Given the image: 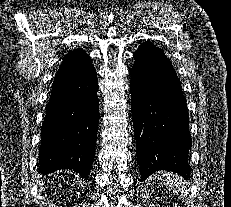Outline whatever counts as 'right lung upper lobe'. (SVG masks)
I'll use <instances>...</instances> for the list:
<instances>
[{"instance_id":"cb5924a9","label":"right lung upper lobe","mask_w":231,"mask_h":207,"mask_svg":"<svg viewBox=\"0 0 231 207\" xmlns=\"http://www.w3.org/2000/svg\"><path fill=\"white\" fill-rule=\"evenodd\" d=\"M88 55L82 49L70 51L64 56L61 66L74 67L75 65L88 59Z\"/></svg>"}]
</instances>
